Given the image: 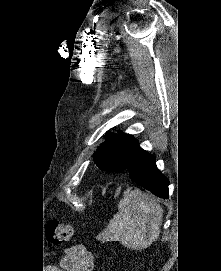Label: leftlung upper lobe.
Returning <instances> with one entry per match:
<instances>
[{
    "label": "left lung upper lobe",
    "instance_id": "5c2ea615",
    "mask_svg": "<svg viewBox=\"0 0 221 271\" xmlns=\"http://www.w3.org/2000/svg\"><path fill=\"white\" fill-rule=\"evenodd\" d=\"M138 149V143L132 136L111 133L108 140L98 147L93 157L94 163L101 170L120 172L128 168Z\"/></svg>",
    "mask_w": 221,
    "mask_h": 271
}]
</instances>
